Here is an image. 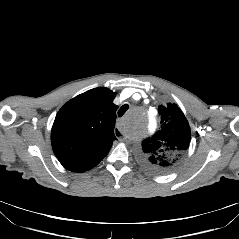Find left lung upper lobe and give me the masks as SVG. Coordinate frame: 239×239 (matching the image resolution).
Masks as SVG:
<instances>
[{
	"label": "left lung upper lobe",
	"instance_id": "1",
	"mask_svg": "<svg viewBox=\"0 0 239 239\" xmlns=\"http://www.w3.org/2000/svg\"><path fill=\"white\" fill-rule=\"evenodd\" d=\"M161 128L142 142V163L157 173L175 169L189 149L191 131L178 105H160Z\"/></svg>",
	"mask_w": 239,
	"mask_h": 239
}]
</instances>
